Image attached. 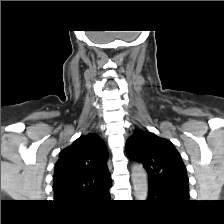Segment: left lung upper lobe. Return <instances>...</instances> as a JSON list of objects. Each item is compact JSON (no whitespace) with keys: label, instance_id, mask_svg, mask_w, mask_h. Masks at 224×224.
I'll use <instances>...</instances> for the list:
<instances>
[{"label":"left lung upper lobe","instance_id":"1","mask_svg":"<svg viewBox=\"0 0 224 224\" xmlns=\"http://www.w3.org/2000/svg\"><path fill=\"white\" fill-rule=\"evenodd\" d=\"M126 152L129 159L143 164L150 186L188 191L186 167L170 141L138 131L127 140Z\"/></svg>","mask_w":224,"mask_h":224}]
</instances>
